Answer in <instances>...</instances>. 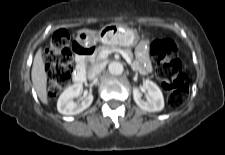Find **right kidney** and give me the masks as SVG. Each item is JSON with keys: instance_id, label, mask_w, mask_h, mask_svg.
I'll return each instance as SVG.
<instances>
[{"instance_id": "right-kidney-1", "label": "right kidney", "mask_w": 225, "mask_h": 155, "mask_svg": "<svg viewBox=\"0 0 225 155\" xmlns=\"http://www.w3.org/2000/svg\"><path fill=\"white\" fill-rule=\"evenodd\" d=\"M83 90L80 83H76L63 91L57 102L58 112L64 115H76L88 108L93 101V95L88 94L82 98L81 103L73 102L75 97H78Z\"/></svg>"}]
</instances>
